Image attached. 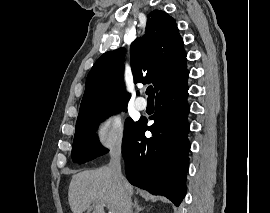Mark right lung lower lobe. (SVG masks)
Masks as SVG:
<instances>
[{"mask_svg":"<svg viewBox=\"0 0 270 213\" xmlns=\"http://www.w3.org/2000/svg\"><path fill=\"white\" fill-rule=\"evenodd\" d=\"M189 71L160 89L155 97L156 112L139 120L123 138L122 154L128 181L153 194H160L178 206L186 194L188 170L187 103ZM149 130L152 137L146 138Z\"/></svg>","mask_w":270,"mask_h":213,"instance_id":"1","label":"right lung lower lobe"}]
</instances>
